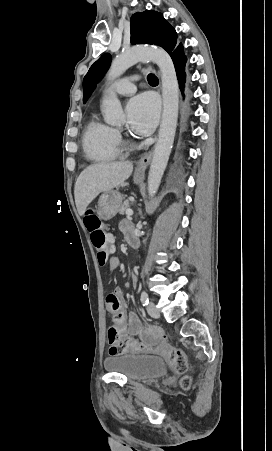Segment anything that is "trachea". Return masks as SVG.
<instances>
[{
  "label": "trachea",
  "mask_w": 272,
  "mask_h": 451,
  "mask_svg": "<svg viewBox=\"0 0 272 451\" xmlns=\"http://www.w3.org/2000/svg\"><path fill=\"white\" fill-rule=\"evenodd\" d=\"M147 78L150 84H158V78L153 73H150Z\"/></svg>",
  "instance_id": "obj_1"
}]
</instances>
